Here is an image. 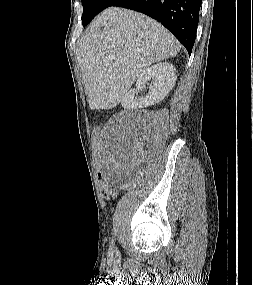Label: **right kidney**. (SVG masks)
Instances as JSON below:
<instances>
[{"mask_svg": "<svg viewBox=\"0 0 253 285\" xmlns=\"http://www.w3.org/2000/svg\"><path fill=\"white\" fill-rule=\"evenodd\" d=\"M151 79L153 84L148 94L139 100L134 99L135 94ZM176 79V68L171 63H157L140 74L136 82V88L125 94L122 105L127 109H141L153 106L168 95L174 87Z\"/></svg>", "mask_w": 253, "mask_h": 285, "instance_id": "right-kidney-1", "label": "right kidney"}]
</instances>
